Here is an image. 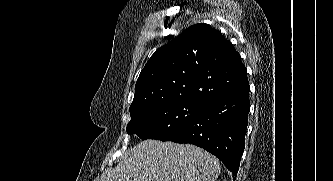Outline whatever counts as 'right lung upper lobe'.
<instances>
[{"instance_id": "right-lung-upper-lobe-1", "label": "right lung upper lobe", "mask_w": 333, "mask_h": 181, "mask_svg": "<svg viewBox=\"0 0 333 181\" xmlns=\"http://www.w3.org/2000/svg\"><path fill=\"white\" fill-rule=\"evenodd\" d=\"M249 84L232 43L208 24L186 29L158 49L137 79L130 112L170 101H206Z\"/></svg>"}]
</instances>
